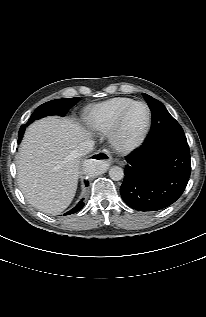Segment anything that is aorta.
<instances>
[{"instance_id":"obj_1","label":"aorta","mask_w":206,"mask_h":317,"mask_svg":"<svg viewBox=\"0 0 206 317\" xmlns=\"http://www.w3.org/2000/svg\"><path fill=\"white\" fill-rule=\"evenodd\" d=\"M84 170L88 174H97L99 172V165L97 161H90L85 164ZM109 176L113 181L122 180L124 177V171L119 166H113L109 170Z\"/></svg>"}]
</instances>
